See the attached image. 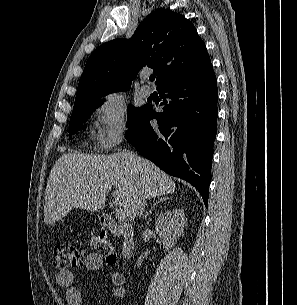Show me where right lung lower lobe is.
Returning a JSON list of instances; mask_svg holds the SVG:
<instances>
[{"label": "right lung lower lobe", "mask_w": 297, "mask_h": 305, "mask_svg": "<svg viewBox=\"0 0 297 305\" xmlns=\"http://www.w3.org/2000/svg\"><path fill=\"white\" fill-rule=\"evenodd\" d=\"M157 90L163 112L147 105L125 137L162 170L191 183L207 207L218 116L213 67Z\"/></svg>", "instance_id": "1"}]
</instances>
